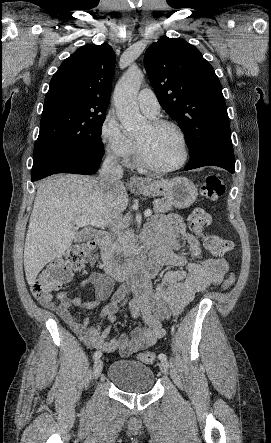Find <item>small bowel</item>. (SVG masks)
<instances>
[{"mask_svg": "<svg viewBox=\"0 0 271 443\" xmlns=\"http://www.w3.org/2000/svg\"><path fill=\"white\" fill-rule=\"evenodd\" d=\"M153 238H158L159 247L154 251L147 269L130 286L120 289L112 297L111 302L102 309L96 324H91L87 317L79 320L70 308L76 306L85 310L93 309L110 296L113 282L103 273L91 272L81 282V287L89 284L93 286V299L82 301L81 298L70 297L67 292L62 291L57 294L58 304L52 295L39 299L40 304L55 311L85 345L98 351H117L121 356L127 357L154 345L166 335L163 322L182 314L197 293L211 285L220 284L228 270V264L222 258H205L200 241L188 232L178 215H169L153 234ZM183 247L188 250L193 261L177 253ZM162 266L185 268L166 272L161 281L153 286L151 280ZM128 292L134 295L129 306L131 316L141 321V324L128 335L108 339L110 327L103 326L102 323L116 320L118 304Z\"/></svg>", "mask_w": 271, "mask_h": 443, "instance_id": "c3829d8e", "label": "small bowel"}]
</instances>
